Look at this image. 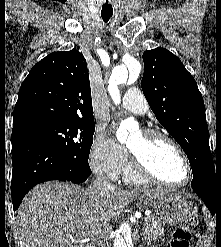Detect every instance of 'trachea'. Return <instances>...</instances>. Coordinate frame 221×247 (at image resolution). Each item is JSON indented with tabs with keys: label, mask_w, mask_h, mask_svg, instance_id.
<instances>
[{
	"label": "trachea",
	"mask_w": 221,
	"mask_h": 247,
	"mask_svg": "<svg viewBox=\"0 0 221 247\" xmlns=\"http://www.w3.org/2000/svg\"><path fill=\"white\" fill-rule=\"evenodd\" d=\"M101 17H102L103 21L107 23L110 20V18L112 17V14H101Z\"/></svg>",
	"instance_id": "1"
}]
</instances>
